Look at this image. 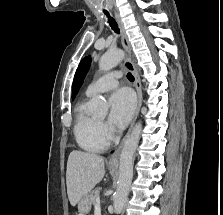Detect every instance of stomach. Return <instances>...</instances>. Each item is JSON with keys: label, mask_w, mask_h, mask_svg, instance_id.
I'll use <instances>...</instances> for the list:
<instances>
[{"label": "stomach", "mask_w": 223, "mask_h": 215, "mask_svg": "<svg viewBox=\"0 0 223 215\" xmlns=\"http://www.w3.org/2000/svg\"><path fill=\"white\" fill-rule=\"evenodd\" d=\"M109 169L111 171V173H113V171H116L115 167H110L109 165ZM88 195H83V197H81L80 201H78V209L80 211V213H88V211H90V202L87 201Z\"/></svg>", "instance_id": "stomach-1"}]
</instances>
